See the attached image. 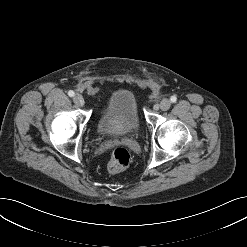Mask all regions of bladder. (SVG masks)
<instances>
[{
  "label": "bladder",
  "instance_id": "obj_1",
  "mask_svg": "<svg viewBox=\"0 0 247 247\" xmlns=\"http://www.w3.org/2000/svg\"><path fill=\"white\" fill-rule=\"evenodd\" d=\"M137 102L129 90L114 92L98 121L99 133L107 138L123 137L138 130Z\"/></svg>",
  "mask_w": 247,
  "mask_h": 247
}]
</instances>
